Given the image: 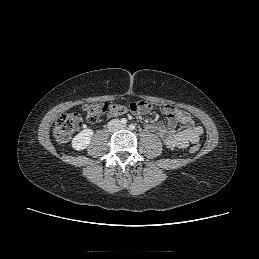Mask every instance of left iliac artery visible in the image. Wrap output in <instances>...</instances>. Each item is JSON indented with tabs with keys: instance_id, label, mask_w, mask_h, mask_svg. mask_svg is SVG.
I'll return each instance as SVG.
<instances>
[{
	"instance_id": "left-iliac-artery-1",
	"label": "left iliac artery",
	"mask_w": 259,
	"mask_h": 259,
	"mask_svg": "<svg viewBox=\"0 0 259 259\" xmlns=\"http://www.w3.org/2000/svg\"><path fill=\"white\" fill-rule=\"evenodd\" d=\"M129 128H130L131 130H134V129H135V125H134V124H130V125H129Z\"/></svg>"
}]
</instances>
